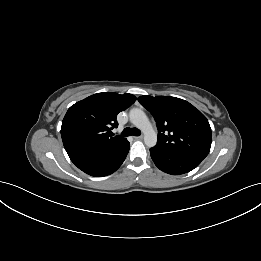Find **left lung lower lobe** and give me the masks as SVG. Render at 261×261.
<instances>
[{"instance_id": "left-lung-lower-lobe-1", "label": "left lung lower lobe", "mask_w": 261, "mask_h": 261, "mask_svg": "<svg viewBox=\"0 0 261 261\" xmlns=\"http://www.w3.org/2000/svg\"><path fill=\"white\" fill-rule=\"evenodd\" d=\"M151 158L155 165L165 173L180 175L196 168L201 159L175 151H170L158 146L150 149Z\"/></svg>"}]
</instances>
